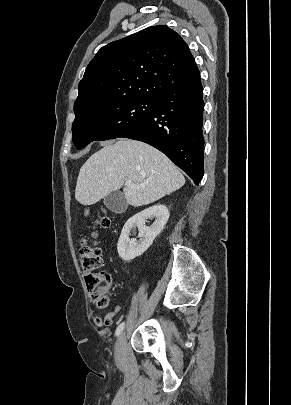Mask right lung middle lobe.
Listing matches in <instances>:
<instances>
[{"label":"right lung middle lobe","mask_w":291,"mask_h":405,"mask_svg":"<svg viewBox=\"0 0 291 405\" xmlns=\"http://www.w3.org/2000/svg\"><path fill=\"white\" fill-rule=\"evenodd\" d=\"M155 107V99L124 97L91 104L75 112L72 141L77 149L95 140L121 138L140 126Z\"/></svg>","instance_id":"1"}]
</instances>
